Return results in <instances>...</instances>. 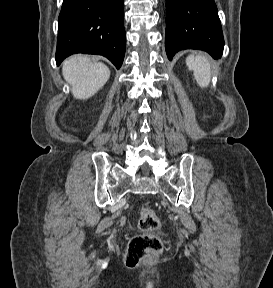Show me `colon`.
Masks as SVG:
<instances>
[{
  "label": "colon",
  "instance_id": "obj_1",
  "mask_svg": "<svg viewBox=\"0 0 273 288\" xmlns=\"http://www.w3.org/2000/svg\"><path fill=\"white\" fill-rule=\"evenodd\" d=\"M138 227L142 232L130 239L125 253L124 261L128 267L137 266L144 258H154L163 250V241L155 233L160 221L153 209H140Z\"/></svg>",
  "mask_w": 273,
  "mask_h": 288
}]
</instances>
